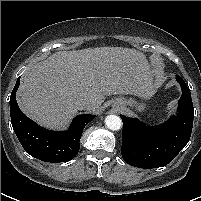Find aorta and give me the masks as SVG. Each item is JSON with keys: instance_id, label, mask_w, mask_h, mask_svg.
I'll list each match as a JSON object with an SVG mask.
<instances>
[{"instance_id": "762f6f07", "label": "aorta", "mask_w": 201, "mask_h": 201, "mask_svg": "<svg viewBox=\"0 0 201 201\" xmlns=\"http://www.w3.org/2000/svg\"><path fill=\"white\" fill-rule=\"evenodd\" d=\"M105 124L110 130L117 131L122 127V120L119 116L108 115L105 118Z\"/></svg>"}]
</instances>
